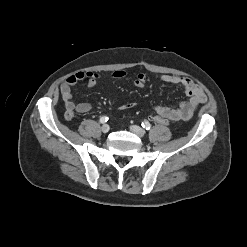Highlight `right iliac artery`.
<instances>
[{"label": "right iliac artery", "mask_w": 247, "mask_h": 247, "mask_svg": "<svg viewBox=\"0 0 247 247\" xmlns=\"http://www.w3.org/2000/svg\"><path fill=\"white\" fill-rule=\"evenodd\" d=\"M108 121V117L107 116H102L100 118V123H106Z\"/></svg>", "instance_id": "obj_1"}]
</instances>
